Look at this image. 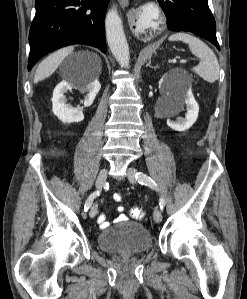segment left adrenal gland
Masks as SVG:
<instances>
[{"mask_svg": "<svg viewBox=\"0 0 247 299\" xmlns=\"http://www.w3.org/2000/svg\"><path fill=\"white\" fill-rule=\"evenodd\" d=\"M146 67L156 68L151 66V58H148V63L146 64Z\"/></svg>", "mask_w": 247, "mask_h": 299, "instance_id": "obj_1", "label": "left adrenal gland"}]
</instances>
